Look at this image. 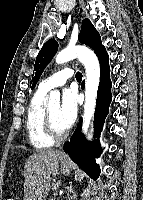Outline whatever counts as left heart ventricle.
Returning a JSON list of instances; mask_svg holds the SVG:
<instances>
[{"mask_svg":"<svg viewBox=\"0 0 143 200\" xmlns=\"http://www.w3.org/2000/svg\"><path fill=\"white\" fill-rule=\"evenodd\" d=\"M59 108L60 107L56 105V106H52L48 108V110H49L51 121H52L55 131L58 133H62L66 130V128L64 127V125L61 123L59 119Z\"/></svg>","mask_w":143,"mask_h":200,"instance_id":"b2bd125f","label":"left heart ventricle"}]
</instances>
